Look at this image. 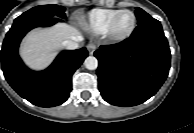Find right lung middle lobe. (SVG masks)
I'll return each mask as SVG.
<instances>
[{
    "label": "right lung middle lobe",
    "mask_w": 194,
    "mask_h": 133,
    "mask_svg": "<svg viewBox=\"0 0 194 133\" xmlns=\"http://www.w3.org/2000/svg\"><path fill=\"white\" fill-rule=\"evenodd\" d=\"M52 17L66 18L65 8L58 5L36 6L17 17L14 22L20 20H35Z\"/></svg>",
    "instance_id": "1"
}]
</instances>
